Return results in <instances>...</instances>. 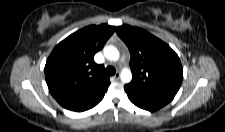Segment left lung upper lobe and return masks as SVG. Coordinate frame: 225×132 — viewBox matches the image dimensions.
Wrapping results in <instances>:
<instances>
[{
    "label": "left lung upper lobe",
    "instance_id": "5c2ea615",
    "mask_svg": "<svg viewBox=\"0 0 225 132\" xmlns=\"http://www.w3.org/2000/svg\"><path fill=\"white\" fill-rule=\"evenodd\" d=\"M116 32L131 53L133 78L125 86L139 94L173 99L183 79V68L175 51L137 27L122 25L116 27Z\"/></svg>",
    "mask_w": 225,
    "mask_h": 132
}]
</instances>
